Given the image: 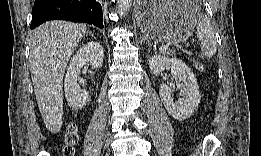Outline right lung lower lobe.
Returning a JSON list of instances; mask_svg holds the SVG:
<instances>
[{"mask_svg": "<svg viewBox=\"0 0 261 156\" xmlns=\"http://www.w3.org/2000/svg\"><path fill=\"white\" fill-rule=\"evenodd\" d=\"M32 18L31 29L55 19L103 28L102 7L96 0H35Z\"/></svg>", "mask_w": 261, "mask_h": 156, "instance_id": "98d812e1", "label": "right lung lower lobe"}]
</instances>
